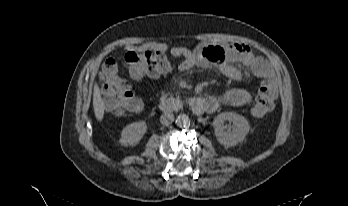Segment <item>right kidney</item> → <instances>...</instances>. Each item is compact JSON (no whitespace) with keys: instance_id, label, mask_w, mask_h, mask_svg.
Returning <instances> with one entry per match:
<instances>
[{"instance_id":"right-kidney-1","label":"right kidney","mask_w":348,"mask_h":206,"mask_svg":"<svg viewBox=\"0 0 348 206\" xmlns=\"http://www.w3.org/2000/svg\"><path fill=\"white\" fill-rule=\"evenodd\" d=\"M146 131L147 125L144 121L133 122L122 130L120 143L123 146H134L139 143Z\"/></svg>"}]
</instances>
